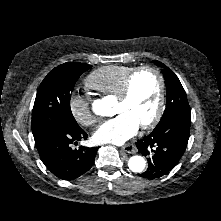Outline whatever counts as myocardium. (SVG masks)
Masks as SVG:
<instances>
[{
	"instance_id": "obj_1",
	"label": "myocardium",
	"mask_w": 221,
	"mask_h": 221,
	"mask_svg": "<svg viewBox=\"0 0 221 221\" xmlns=\"http://www.w3.org/2000/svg\"><path fill=\"white\" fill-rule=\"evenodd\" d=\"M143 72L154 73L159 81V97H158V102H157L155 114L148 122L140 125V127L142 129H150V128H153L160 121V119L163 115L164 106H165L166 83H165V78L159 69H157L156 67H153V66H142V67H138L135 70H133L125 79L124 84L121 88V91L116 96V98L120 102L126 101L130 97L131 90H132V84H133L135 78L140 73H143Z\"/></svg>"
}]
</instances>
